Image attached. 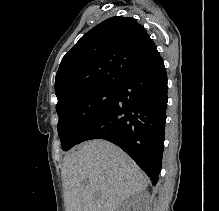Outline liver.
<instances>
[{
    "label": "liver",
    "instance_id": "obj_1",
    "mask_svg": "<svg viewBox=\"0 0 219 211\" xmlns=\"http://www.w3.org/2000/svg\"><path fill=\"white\" fill-rule=\"evenodd\" d=\"M62 177L66 211H118L149 183L134 159L105 139H90L64 155Z\"/></svg>",
    "mask_w": 219,
    "mask_h": 211
}]
</instances>
